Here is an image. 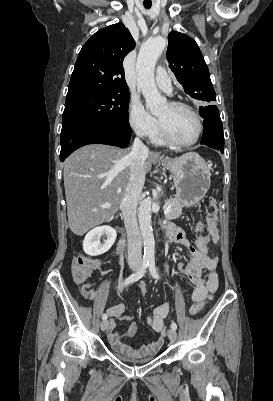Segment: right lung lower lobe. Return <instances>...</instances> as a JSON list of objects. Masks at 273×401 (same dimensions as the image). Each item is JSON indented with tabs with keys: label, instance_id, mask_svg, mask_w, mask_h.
<instances>
[{
	"label": "right lung lower lobe",
	"instance_id": "98d812e1",
	"mask_svg": "<svg viewBox=\"0 0 273 401\" xmlns=\"http://www.w3.org/2000/svg\"><path fill=\"white\" fill-rule=\"evenodd\" d=\"M130 128L79 121L62 126L60 134V161H64L76 149L88 144H107L118 147L128 145Z\"/></svg>",
	"mask_w": 273,
	"mask_h": 401
}]
</instances>
